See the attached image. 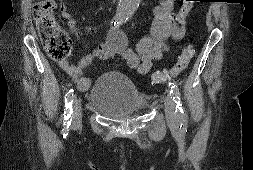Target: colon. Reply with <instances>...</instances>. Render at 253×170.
Returning a JSON list of instances; mask_svg holds the SVG:
<instances>
[{"label": "colon", "mask_w": 253, "mask_h": 170, "mask_svg": "<svg viewBox=\"0 0 253 170\" xmlns=\"http://www.w3.org/2000/svg\"><path fill=\"white\" fill-rule=\"evenodd\" d=\"M196 0H183L179 14L186 18ZM55 0H40L34 4L33 16L40 39L44 44L47 54L51 59L64 60L72 50V41L69 35L61 29L55 19ZM193 55L189 46L183 48L176 63L168 70L153 73L152 80L157 84H165L181 74L188 66Z\"/></svg>", "instance_id": "colon-1"}]
</instances>
